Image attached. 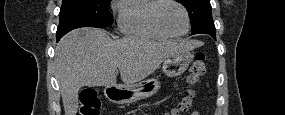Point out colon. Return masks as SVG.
<instances>
[{
    "label": "colon",
    "mask_w": 285,
    "mask_h": 115,
    "mask_svg": "<svg viewBox=\"0 0 285 115\" xmlns=\"http://www.w3.org/2000/svg\"><path fill=\"white\" fill-rule=\"evenodd\" d=\"M206 72V62L203 53L199 52L196 54L194 61L190 65L187 83L189 88L186 95L178 104L175 109V113L183 114L187 113L193 106L196 98V87L201 81V78ZM100 113V102L97 98L96 93L92 89L84 90L80 95V106L78 109V115H99Z\"/></svg>",
    "instance_id": "5ec220e1"
}]
</instances>
